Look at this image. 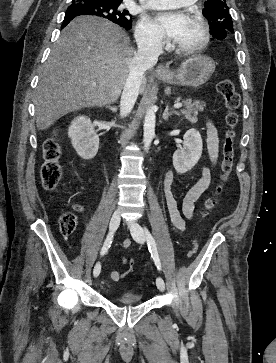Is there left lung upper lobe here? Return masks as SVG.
Segmentation results:
<instances>
[{
  "label": "left lung upper lobe",
  "mask_w": 276,
  "mask_h": 363,
  "mask_svg": "<svg viewBox=\"0 0 276 363\" xmlns=\"http://www.w3.org/2000/svg\"><path fill=\"white\" fill-rule=\"evenodd\" d=\"M203 15L209 20L210 32L214 38L222 40L234 33L226 0H207Z\"/></svg>",
  "instance_id": "1"
}]
</instances>
